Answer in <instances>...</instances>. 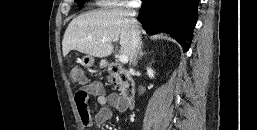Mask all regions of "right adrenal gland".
Listing matches in <instances>:
<instances>
[{"instance_id":"obj_1","label":"right adrenal gland","mask_w":257,"mask_h":130,"mask_svg":"<svg viewBox=\"0 0 257 130\" xmlns=\"http://www.w3.org/2000/svg\"><path fill=\"white\" fill-rule=\"evenodd\" d=\"M142 47H143V44L141 43L137 50L136 56L134 58V62H133L134 66H136L138 63V60L141 59V57L146 54V52L142 51Z\"/></svg>"}]
</instances>
